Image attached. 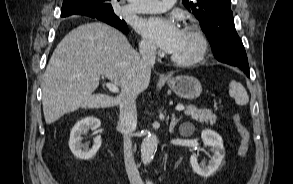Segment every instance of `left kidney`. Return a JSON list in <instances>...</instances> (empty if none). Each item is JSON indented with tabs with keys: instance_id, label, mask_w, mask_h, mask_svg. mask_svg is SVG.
I'll list each match as a JSON object with an SVG mask.
<instances>
[{
	"instance_id": "obj_1",
	"label": "left kidney",
	"mask_w": 293,
	"mask_h": 184,
	"mask_svg": "<svg viewBox=\"0 0 293 184\" xmlns=\"http://www.w3.org/2000/svg\"><path fill=\"white\" fill-rule=\"evenodd\" d=\"M201 137L203 144L211 148V160L208 162V165L205 166L204 163L199 164L197 161V156L193 154L190 157V163L193 171L199 176L209 177L214 174L221 165L225 155V150L221 136L215 131L205 129L202 131Z\"/></svg>"
}]
</instances>
